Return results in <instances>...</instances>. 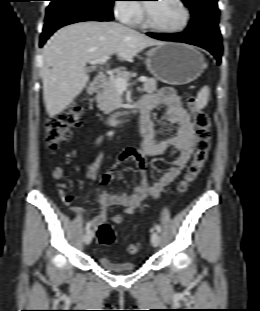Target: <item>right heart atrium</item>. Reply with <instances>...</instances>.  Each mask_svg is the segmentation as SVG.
I'll return each mask as SVG.
<instances>
[{"mask_svg":"<svg viewBox=\"0 0 260 311\" xmlns=\"http://www.w3.org/2000/svg\"><path fill=\"white\" fill-rule=\"evenodd\" d=\"M114 13L123 23H134L141 15V7L135 3L117 0L114 5Z\"/></svg>","mask_w":260,"mask_h":311,"instance_id":"right-heart-atrium-1","label":"right heart atrium"}]
</instances>
